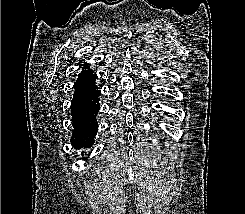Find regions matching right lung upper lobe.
I'll return each instance as SVG.
<instances>
[{
  "label": "right lung upper lobe",
  "mask_w": 245,
  "mask_h": 214,
  "mask_svg": "<svg viewBox=\"0 0 245 214\" xmlns=\"http://www.w3.org/2000/svg\"><path fill=\"white\" fill-rule=\"evenodd\" d=\"M84 68L85 70L81 73L82 79L87 80L96 77V74H93L87 64L84 65Z\"/></svg>",
  "instance_id": "1"
}]
</instances>
